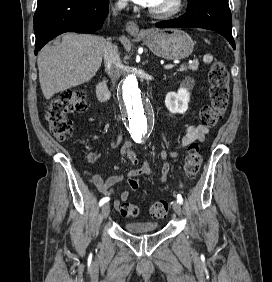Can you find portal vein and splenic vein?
<instances>
[{"instance_id": "portal-vein-and-splenic-vein-1", "label": "portal vein and splenic vein", "mask_w": 272, "mask_h": 282, "mask_svg": "<svg viewBox=\"0 0 272 282\" xmlns=\"http://www.w3.org/2000/svg\"><path fill=\"white\" fill-rule=\"evenodd\" d=\"M175 66H176V65L168 64V65H165V66H164V69H165V70H169V69L174 68Z\"/></svg>"}]
</instances>
